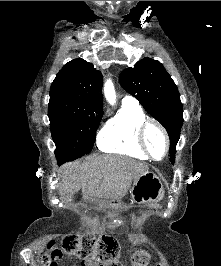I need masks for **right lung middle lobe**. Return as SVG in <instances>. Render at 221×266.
Instances as JSON below:
<instances>
[{"label": "right lung middle lobe", "mask_w": 221, "mask_h": 266, "mask_svg": "<svg viewBox=\"0 0 221 266\" xmlns=\"http://www.w3.org/2000/svg\"><path fill=\"white\" fill-rule=\"evenodd\" d=\"M102 115L80 110L72 99L50 97L48 116L59 164L79 158L92 150Z\"/></svg>", "instance_id": "obj_1"}]
</instances>
